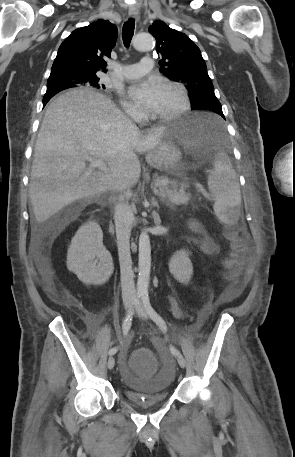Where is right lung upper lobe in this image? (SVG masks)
Segmentation results:
<instances>
[{
    "instance_id": "obj_1",
    "label": "right lung upper lobe",
    "mask_w": 295,
    "mask_h": 457,
    "mask_svg": "<svg viewBox=\"0 0 295 457\" xmlns=\"http://www.w3.org/2000/svg\"><path fill=\"white\" fill-rule=\"evenodd\" d=\"M117 35L116 26L103 19L74 30L59 47L47 85H85L98 71L106 73L105 59L110 57Z\"/></svg>"
}]
</instances>
